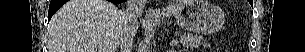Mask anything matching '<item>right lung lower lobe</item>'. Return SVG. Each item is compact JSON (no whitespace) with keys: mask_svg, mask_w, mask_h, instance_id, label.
<instances>
[{"mask_svg":"<svg viewBox=\"0 0 305 52\" xmlns=\"http://www.w3.org/2000/svg\"><path fill=\"white\" fill-rule=\"evenodd\" d=\"M113 3H121L125 0H108ZM66 0H51L49 12H48V21L51 19L52 15L64 4Z\"/></svg>","mask_w":305,"mask_h":52,"instance_id":"obj_1","label":"right lung lower lobe"}]
</instances>
